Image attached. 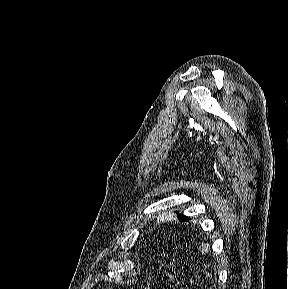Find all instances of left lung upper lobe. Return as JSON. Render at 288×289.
Instances as JSON below:
<instances>
[{
  "mask_svg": "<svg viewBox=\"0 0 288 289\" xmlns=\"http://www.w3.org/2000/svg\"><path fill=\"white\" fill-rule=\"evenodd\" d=\"M178 218H179V221H186V220H188V217H185V216L182 215V214H178Z\"/></svg>",
  "mask_w": 288,
  "mask_h": 289,
  "instance_id": "5c2ea615",
  "label": "left lung upper lobe"
}]
</instances>
